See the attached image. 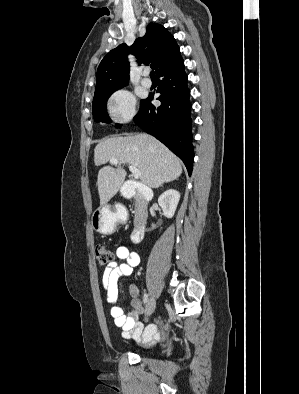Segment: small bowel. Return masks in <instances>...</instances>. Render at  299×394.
Segmentation results:
<instances>
[{
    "label": "small bowel",
    "instance_id": "small-bowel-1",
    "mask_svg": "<svg viewBox=\"0 0 299 394\" xmlns=\"http://www.w3.org/2000/svg\"><path fill=\"white\" fill-rule=\"evenodd\" d=\"M116 258L123 262H112L106 266L102 273V287L106 293L107 302L111 305L110 314L114 323L122 330L124 338H133L139 343L154 344L160 341L166 328H159L156 325L144 327L139 322V316L143 313L141 300L139 299V289L131 284L128 293L131 297L130 310L124 314L123 309L116 305L118 298L117 282L120 277L128 276L132 270L139 265L140 257L128 245H119L115 250Z\"/></svg>",
    "mask_w": 299,
    "mask_h": 394
}]
</instances>
